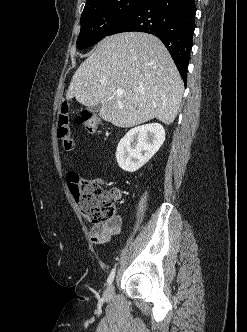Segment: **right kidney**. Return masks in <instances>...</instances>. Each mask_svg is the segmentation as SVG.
<instances>
[{"label": "right kidney", "instance_id": "1", "mask_svg": "<svg viewBox=\"0 0 247 332\" xmlns=\"http://www.w3.org/2000/svg\"><path fill=\"white\" fill-rule=\"evenodd\" d=\"M164 140L165 129L161 124L150 123L132 128L117 146L118 165L127 172L137 171L154 156Z\"/></svg>", "mask_w": 247, "mask_h": 332}]
</instances>
